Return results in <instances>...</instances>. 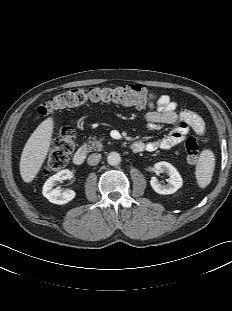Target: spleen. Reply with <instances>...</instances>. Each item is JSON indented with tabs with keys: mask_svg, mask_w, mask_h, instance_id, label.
Returning a JSON list of instances; mask_svg holds the SVG:
<instances>
[{
	"mask_svg": "<svg viewBox=\"0 0 232 311\" xmlns=\"http://www.w3.org/2000/svg\"><path fill=\"white\" fill-rule=\"evenodd\" d=\"M215 168V156L211 150L205 149L198 159L195 175L200 188L208 186L212 180Z\"/></svg>",
	"mask_w": 232,
	"mask_h": 311,
	"instance_id": "3e777b00",
	"label": "spleen"
}]
</instances>
